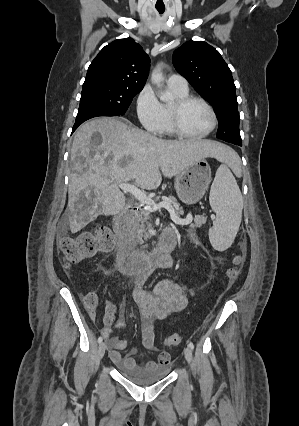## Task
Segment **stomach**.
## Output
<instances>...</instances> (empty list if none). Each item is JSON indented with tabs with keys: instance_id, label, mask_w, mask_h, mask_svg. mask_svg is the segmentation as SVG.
I'll use <instances>...</instances> for the list:
<instances>
[{
	"instance_id": "obj_1",
	"label": "stomach",
	"mask_w": 299,
	"mask_h": 426,
	"mask_svg": "<svg viewBox=\"0 0 299 426\" xmlns=\"http://www.w3.org/2000/svg\"><path fill=\"white\" fill-rule=\"evenodd\" d=\"M211 181V168L206 159L193 163L175 177V190L185 204L198 202L206 193Z\"/></svg>"
}]
</instances>
